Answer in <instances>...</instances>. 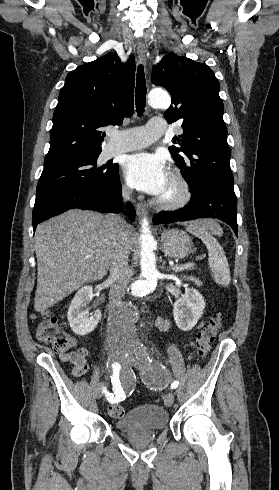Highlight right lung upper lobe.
<instances>
[{
	"instance_id": "cb5924a9",
	"label": "right lung upper lobe",
	"mask_w": 279,
	"mask_h": 490,
	"mask_svg": "<svg viewBox=\"0 0 279 490\" xmlns=\"http://www.w3.org/2000/svg\"><path fill=\"white\" fill-rule=\"evenodd\" d=\"M135 62L115 53L71 71L53 115L50 149L44 162L101 152L100 128L121 125L133 114Z\"/></svg>"
}]
</instances>
